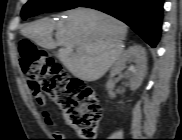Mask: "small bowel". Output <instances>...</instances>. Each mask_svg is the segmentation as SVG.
Returning a JSON list of instances; mask_svg holds the SVG:
<instances>
[{
  "label": "small bowel",
  "instance_id": "obj_1",
  "mask_svg": "<svg viewBox=\"0 0 182 140\" xmlns=\"http://www.w3.org/2000/svg\"><path fill=\"white\" fill-rule=\"evenodd\" d=\"M38 102L40 104H43L44 103L43 99H38ZM43 117H44V119H45V121H46L47 124L53 125V121H52V119L50 117V114L47 111H44L43 112Z\"/></svg>",
  "mask_w": 182,
  "mask_h": 140
}]
</instances>
